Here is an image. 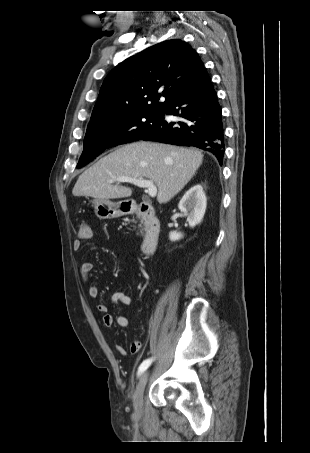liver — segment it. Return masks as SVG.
Returning a JSON list of instances; mask_svg holds the SVG:
<instances>
[{"mask_svg": "<svg viewBox=\"0 0 310 453\" xmlns=\"http://www.w3.org/2000/svg\"><path fill=\"white\" fill-rule=\"evenodd\" d=\"M203 161L195 149L156 142H134L118 148L85 170L72 190L74 196L95 199L130 197L131 188L112 184L113 177L147 178L158 188L157 201L169 202L191 180Z\"/></svg>", "mask_w": 310, "mask_h": 453, "instance_id": "liver-1", "label": "liver"}]
</instances>
